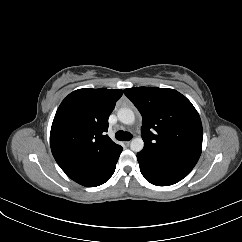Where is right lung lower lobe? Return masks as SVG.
<instances>
[{
  "mask_svg": "<svg viewBox=\"0 0 242 242\" xmlns=\"http://www.w3.org/2000/svg\"><path fill=\"white\" fill-rule=\"evenodd\" d=\"M122 149L121 146L117 147L100 158L91 168L73 180L86 187L102 185L113 175Z\"/></svg>",
  "mask_w": 242,
  "mask_h": 242,
  "instance_id": "obj_1",
  "label": "right lung lower lobe"
}]
</instances>
